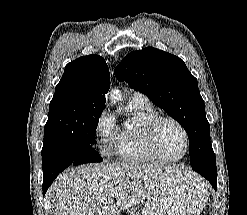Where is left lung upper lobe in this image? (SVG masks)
Listing matches in <instances>:
<instances>
[{"label":"left lung upper lobe","mask_w":247,"mask_h":215,"mask_svg":"<svg viewBox=\"0 0 247 215\" xmlns=\"http://www.w3.org/2000/svg\"><path fill=\"white\" fill-rule=\"evenodd\" d=\"M114 73L118 80L148 96L181 124L188 134L191 163L201 150L212 148L197 79L182 59L148 47L128 54Z\"/></svg>","instance_id":"1"}]
</instances>
